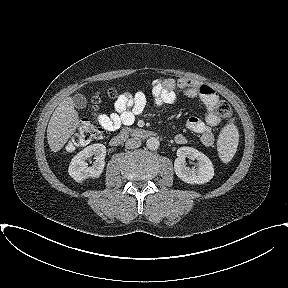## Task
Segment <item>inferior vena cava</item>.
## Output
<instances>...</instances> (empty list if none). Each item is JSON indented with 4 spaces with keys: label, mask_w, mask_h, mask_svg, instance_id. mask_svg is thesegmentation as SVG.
Returning a JSON list of instances; mask_svg holds the SVG:
<instances>
[{
    "label": "inferior vena cava",
    "mask_w": 288,
    "mask_h": 288,
    "mask_svg": "<svg viewBox=\"0 0 288 288\" xmlns=\"http://www.w3.org/2000/svg\"><path fill=\"white\" fill-rule=\"evenodd\" d=\"M140 145H141V140L138 138H130L125 143V147L127 149L138 148V147H140Z\"/></svg>",
    "instance_id": "obj_1"
}]
</instances>
